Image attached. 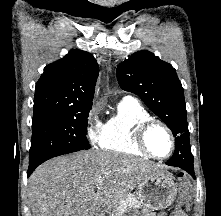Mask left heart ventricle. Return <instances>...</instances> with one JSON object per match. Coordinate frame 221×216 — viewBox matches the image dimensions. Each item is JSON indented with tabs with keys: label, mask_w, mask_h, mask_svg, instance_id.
Masks as SVG:
<instances>
[{
	"label": "left heart ventricle",
	"mask_w": 221,
	"mask_h": 216,
	"mask_svg": "<svg viewBox=\"0 0 221 216\" xmlns=\"http://www.w3.org/2000/svg\"><path fill=\"white\" fill-rule=\"evenodd\" d=\"M149 148L157 155H167L171 149L169 136L161 127H154L147 137Z\"/></svg>",
	"instance_id": "1"
}]
</instances>
